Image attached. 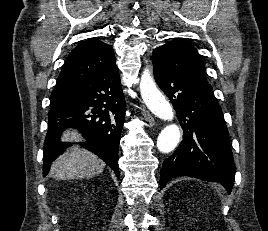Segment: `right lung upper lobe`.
I'll list each match as a JSON object with an SVG mask.
<instances>
[{
	"label": "right lung upper lobe",
	"mask_w": 268,
	"mask_h": 231,
	"mask_svg": "<svg viewBox=\"0 0 268 231\" xmlns=\"http://www.w3.org/2000/svg\"><path fill=\"white\" fill-rule=\"evenodd\" d=\"M115 62L114 51L110 45L96 39L84 41L70 52L54 91L76 89L85 81L107 70Z\"/></svg>",
	"instance_id": "obj_1"
}]
</instances>
